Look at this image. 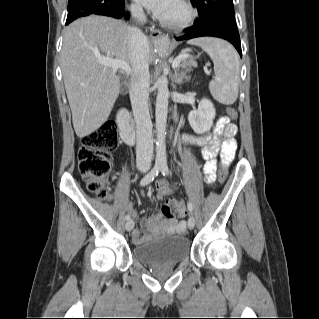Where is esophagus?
Returning a JSON list of instances; mask_svg holds the SVG:
<instances>
[{
  "mask_svg": "<svg viewBox=\"0 0 319 319\" xmlns=\"http://www.w3.org/2000/svg\"><path fill=\"white\" fill-rule=\"evenodd\" d=\"M150 37L153 40H159V39L164 37V34L159 29H154L153 28V29L150 30Z\"/></svg>",
  "mask_w": 319,
  "mask_h": 319,
  "instance_id": "esophagus-1",
  "label": "esophagus"
}]
</instances>
